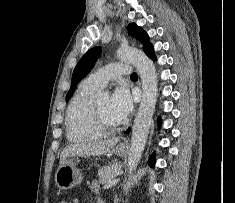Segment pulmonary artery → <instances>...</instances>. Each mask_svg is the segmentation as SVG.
Instances as JSON below:
<instances>
[{
  "instance_id": "1",
  "label": "pulmonary artery",
  "mask_w": 235,
  "mask_h": 203,
  "mask_svg": "<svg viewBox=\"0 0 235 203\" xmlns=\"http://www.w3.org/2000/svg\"><path fill=\"white\" fill-rule=\"evenodd\" d=\"M130 73L131 67L127 63H111L92 73L85 81L91 86L101 89L105 87L109 81Z\"/></svg>"
}]
</instances>
